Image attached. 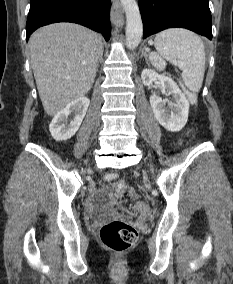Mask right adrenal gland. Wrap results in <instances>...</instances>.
<instances>
[{
	"label": "right adrenal gland",
	"mask_w": 233,
	"mask_h": 284,
	"mask_svg": "<svg viewBox=\"0 0 233 284\" xmlns=\"http://www.w3.org/2000/svg\"><path fill=\"white\" fill-rule=\"evenodd\" d=\"M103 61V49H102V52H101V55H100V58H99V63H101Z\"/></svg>",
	"instance_id": "obj_1"
}]
</instances>
